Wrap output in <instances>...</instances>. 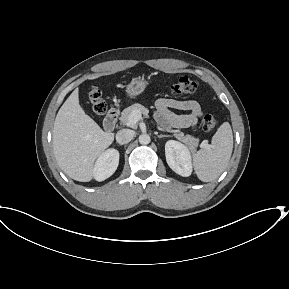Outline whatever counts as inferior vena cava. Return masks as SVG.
Segmentation results:
<instances>
[{
    "label": "inferior vena cava",
    "mask_w": 289,
    "mask_h": 289,
    "mask_svg": "<svg viewBox=\"0 0 289 289\" xmlns=\"http://www.w3.org/2000/svg\"><path fill=\"white\" fill-rule=\"evenodd\" d=\"M133 139V132L129 129H122L116 134V141L120 145L129 143Z\"/></svg>",
    "instance_id": "1"
}]
</instances>
